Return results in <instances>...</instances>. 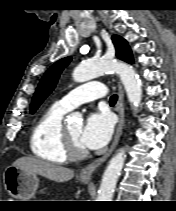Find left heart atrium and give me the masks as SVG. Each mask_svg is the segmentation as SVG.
<instances>
[{
    "label": "left heart atrium",
    "instance_id": "39dd6f15",
    "mask_svg": "<svg viewBox=\"0 0 176 211\" xmlns=\"http://www.w3.org/2000/svg\"><path fill=\"white\" fill-rule=\"evenodd\" d=\"M113 121L107 112L91 114L82 129L80 142L84 148L100 149L111 139Z\"/></svg>",
    "mask_w": 176,
    "mask_h": 211
}]
</instances>
